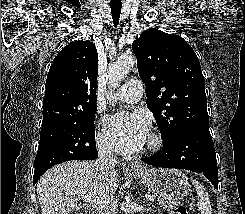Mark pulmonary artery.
Returning a JSON list of instances; mask_svg holds the SVG:
<instances>
[{"mask_svg": "<svg viewBox=\"0 0 245 214\" xmlns=\"http://www.w3.org/2000/svg\"><path fill=\"white\" fill-rule=\"evenodd\" d=\"M143 90L144 84L141 80L131 79L117 90L115 97L122 102L135 103L141 98Z\"/></svg>", "mask_w": 245, "mask_h": 214, "instance_id": "obj_1", "label": "pulmonary artery"}]
</instances>
